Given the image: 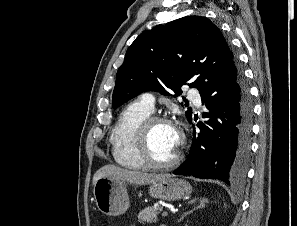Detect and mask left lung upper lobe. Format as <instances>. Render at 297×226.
Listing matches in <instances>:
<instances>
[{
	"label": "left lung upper lobe",
	"instance_id": "5c2ea615",
	"mask_svg": "<svg viewBox=\"0 0 297 226\" xmlns=\"http://www.w3.org/2000/svg\"><path fill=\"white\" fill-rule=\"evenodd\" d=\"M241 70L220 30L207 18L187 16L158 25L139 35L117 71L113 108L139 93L155 90L175 96L191 81L199 91L206 85L235 82ZM188 121L192 109L186 111Z\"/></svg>",
	"mask_w": 297,
	"mask_h": 226
}]
</instances>
